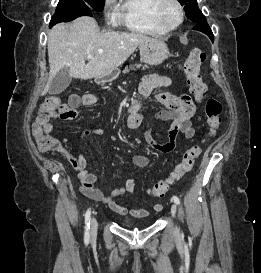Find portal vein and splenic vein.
Listing matches in <instances>:
<instances>
[{"label":"portal vein and splenic vein","instance_id":"18ae733b","mask_svg":"<svg viewBox=\"0 0 261 273\" xmlns=\"http://www.w3.org/2000/svg\"><path fill=\"white\" fill-rule=\"evenodd\" d=\"M87 58H88V59H92L93 56H92L91 54H89V55L87 56Z\"/></svg>","mask_w":261,"mask_h":273}]
</instances>
